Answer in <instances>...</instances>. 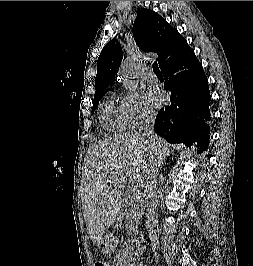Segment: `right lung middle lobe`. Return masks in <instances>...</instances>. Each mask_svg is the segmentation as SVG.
Wrapping results in <instances>:
<instances>
[{"instance_id":"dd1d6c3e","label":"right lung middle lobe","mask_w":253,"mask_h":266,"mask_svg":"<svg viewBox=\"0 0 253 266\" xmlns=\"http://www.w3.org/2000/svg\"><path fill=\"white\" fill-rule=\"evenodd\" d=\"M103 95H104V94H103ZM103 95L94 98V103H93V107H92V114L94 113V111H95V109H96V107H97V104H98V102L100 101V99L103 97Z\"/></svg>"}]
</instances>
